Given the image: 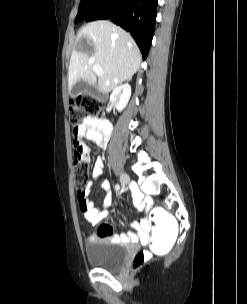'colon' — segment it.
<instances>
[{
    "instance_id": "1",
    "label": "colon",
    "mask_w": 247,
    "mask_h": 304,
    "mask_svg": "<svg viewBox=\"0 0 247 304\" xmlns=\"http://www.w3.org/2000/svg\"><path fill=\"white\" fill-rule=\"evenodd\" d=\"M104 102L96 95L78 96L70 101L69 120L73 130H77L82 121L87 117H100L103 114ZM89 165L88 162H75L73 156V179L74 186L79 199L84 196L88 185ZM151 236L148 237L146 250H140L134 257L132 267L139 269L145 264L149 253H170L177 240V220L174 214H168L162 206H155L154 210L149 211Z\"/></svg>"
}]
</instances>
